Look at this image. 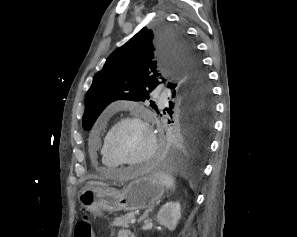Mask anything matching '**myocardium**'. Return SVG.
I'll list each match as a JSON object with an SVG mask.
<instances>
[{
  "label": "myocardium",
  "mask_w": 297,
  "mask_h": 237,
  "mask_svg": "<svg viewBox=\"0 0 297 237\" xmlns=\"http://www.w3.org/2000/svg\"><path fill=\"white\" fill-rule=\"evenodd\" d=\"M138 123L140 124L146 131L149 137V149L148 152L137 160H125L118 156V154L113 150L111 146V138L113 133L122 125L126 123ZM105 147L109 155L120 165V166H130V165H140L145 164L152 160L157 151H158V137L154 130L153 125L151 124L150 117L146 114L139 113V114H131L124 116L118 119L113 126L109 129L105 136Z\"/></svg>",
  "instance_id": "f54148a6"
}]
</instances>
